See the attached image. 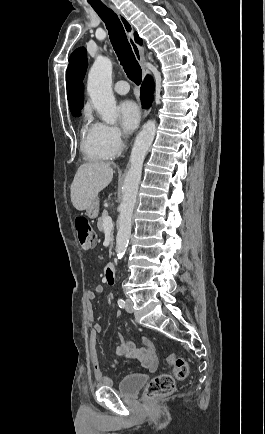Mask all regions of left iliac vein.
<instances>
[{"label":"left iliac vein","mask_w":265,"mask_h":434,"mask_svg":"<svg viewBox=\"0 0 265 434\" xmlns=\"http://www.w3.org/2000/svg\"><path fill=\"white\" fill-rule=\"evenodd\" d=\"M134 310L133 308V301L131 299L126 300V311L129 313H132Z\"/></svg>","instance_id":"1"}]
</instances>
